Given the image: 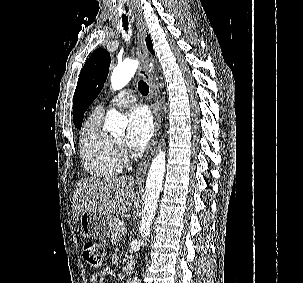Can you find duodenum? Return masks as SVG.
I'll list each match as a JSON object with an SVG mask.
<instances>
[{
  "label": "duodenum",
  "instance_id": "410a0bca",
  "mask_svg": "<svg viewBox=\"0 0 303 283\" xmlns=\"http://www.w3.org/2000/svg\"><path fill=\"white\" fill-rule=\"evenodd\" d=\"M134 269V264L132 262H129L127 265H126V272L127 273H130L132 272V270Z\"/></svg>",
  "mask_w": 303,
  "mask_h": 283
}]
</instances>
